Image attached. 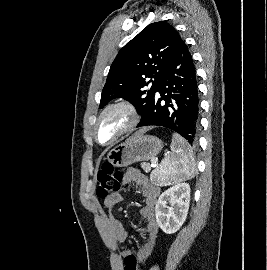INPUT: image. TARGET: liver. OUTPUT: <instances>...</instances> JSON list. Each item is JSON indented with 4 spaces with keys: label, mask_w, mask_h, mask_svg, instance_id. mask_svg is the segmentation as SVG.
Here are the masks:
<instances>
[{
    "label": "liver",
    "mask_w": 267,
    "mask_h": 270,
    "mask_svg": "<svg viewBox=\"0 0 267 270\" xmlns=\"http://www.w3.org/2000/svg\"><path fill=\"white\" fill-rule=\"evenodd\" d=\"M149 129L150 128H142L141 130H139L138 132H136L133 137L140 136V135L144 134L146 131H148Z\"/></svg>",
    "instance_id": "1"
}]
</instances>
